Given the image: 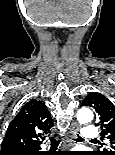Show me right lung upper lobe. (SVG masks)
Returning <instances> with one entry per match:
<instances>
[{"label": "right lung upper lobe", "instance_id": "1", "mask_svg": "<svg viewBox=\"0 0 115 155\" xmlns=\"http://www.w3.org/2000/svg\"><path fill=\"white\" fill-rule=\"evenodd\" d=\"M52 118L46 106L38 100L27 102L10 123L1 145L0 155H12L39 148L50 133Z\"/></svg>", "mask_w": 115, "mask_h": 155}]
</instances>
